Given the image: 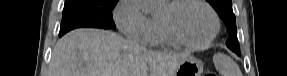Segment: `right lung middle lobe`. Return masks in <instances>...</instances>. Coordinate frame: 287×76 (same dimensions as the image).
<instances>
[{"label":"right lung middle lobe","instance_id":"obj_1","mask_svg":"<svg viewBox=\"0 0 287 76\" xmlns=\"http://www.w3.org/2000/svg\"><path fill=\"white\" fill-rule=\"evenodd\" d=\"M118 0H66L59 35L75 28L114 29L112 9Z\"/></svg>","mask_w":287,"mask_h":76}]
</instances>
